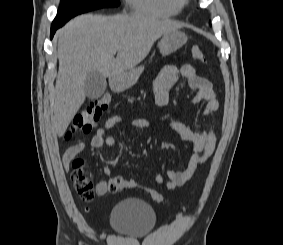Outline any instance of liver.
Wrapping results in <instances>:
<instances>
[{
    "mask_svg": "<svg viewBox=\"0 0 283 245\" xmlns=\"http://www.w3.org/2000/svg\"><path fill=\"white\" fill-rule=\"evenodd\" d=\"M181 27L171 20L143 15L86 14L68 22L57 33L59 71L52 118L55 133L64 135L84 103L88 73L98 71L105 78H115L143 61L162 35Z\"/></svg>",
    "mask_w": 283,
    "mask_h": 245,
    "instance_id": "1",
    "label": "liver"
}]
</instances>
